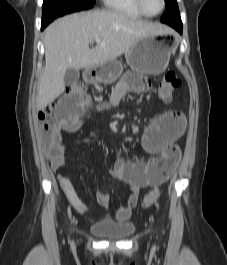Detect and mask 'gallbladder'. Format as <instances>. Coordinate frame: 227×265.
<instances>
[{
	"instance_id": "1",
	"label": "gallbladder",
	"mask_w": 227,
	"mask_h": 265,
	"mask_svg": "<svg viewBox=\"0 0 227 265\" xmlns=\"http://www.w3.org/2000/svg\"><path fill=\"white\" fill-rule=\"evenodd\" d=\"M80 73L79 70H76L74 68H70L66 71L64 76V83L66 85H73L79 80Z\"/></svg>"
}]
</instances>
